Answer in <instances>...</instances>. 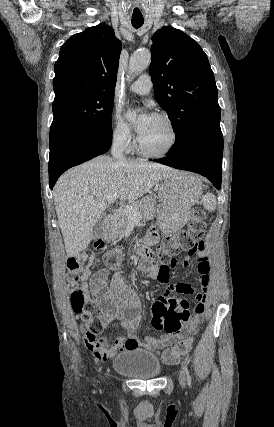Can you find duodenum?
Masks as SVG:
<instances>
[{
  "label": "duodenum",
  "mask_w": 274,
  "mask_h": 427,
  "mask_svg": "<svg viewBox=\"0 0 274 427\" xmlns=\"http://www.w3.org/2000/svg\"><path fill=\"white\" fill-rule=\"evenodd\" d=\"M110 225V219H106L104 222V226L108 227ZM141 256H142V260L145 262H150L152 260L153 257V253L152 251L148 248V247H142L139 250Z\"/></svg>",
  "instance_id": "410a0bca"
}]
</instances>
